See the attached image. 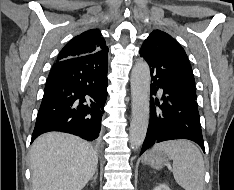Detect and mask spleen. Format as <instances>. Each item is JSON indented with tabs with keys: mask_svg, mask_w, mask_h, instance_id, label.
Instances as JSON below:
<instances>
[{
	"mask_svg": "<svg viewBox=\"0 0 234 190\" xmlns=\"http://www.w3.org/2000/svg\"><path fill=\"white\" fill-rule=\"evenodd\" d=\"M154 151H163L173 160V175L185 190H203L204 160L199 148L188 140L158 143Z\"/></svg>",
	"mask_w": 234,
	"mask_h": 190,
	"instance_id": "spleen-1",
	"label": "spleen"
}]
</instances>
